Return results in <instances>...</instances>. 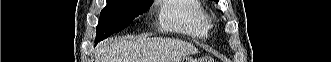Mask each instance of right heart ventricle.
Wrapping results in <instances>:
<instances>
[{"label":"right heart ventricle","mask_w":331,"mask_h":62,"mask_svg":"<svg viewBox=\"0 0 331 62\" xmlns=\"http://www.w3.org/2000/svg\"><path fill=\"white\" fill-rule=\"evenodd\" d=\"M160 24L169 31L193 38H205L211 29V20L201 1L165 0L160 9Z\"/></svg>","instance_id":"right-heart-ventricle-1"}]
</instances>
